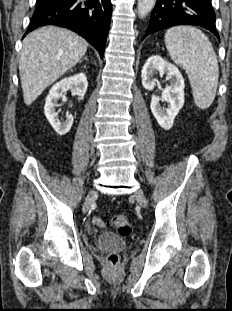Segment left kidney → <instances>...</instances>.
Here are the masks:
<instances>
[{"mask_svg": "<svg viewBox=\"0 0 232 311\" xmlns=\"http://www.w3.org/2000/svg\"><path fill=\"white\" fill-rule=\"evenodd\" d=\"M166 74L170 85L163 91V99L167 102V108L160 107V99L156 95L151 96V111L158 124L165 130L173 126L175 117L184 104L185 83L178 68L164 60L159 55H153L147 59L142 68V85L147 90H153L157 79L153 76L156 73Z\"/></svg>", "mask_w": 232, "mask_h": 311, "instance_id": "5707ae66", "label": "left kidney"}]
</instances>
